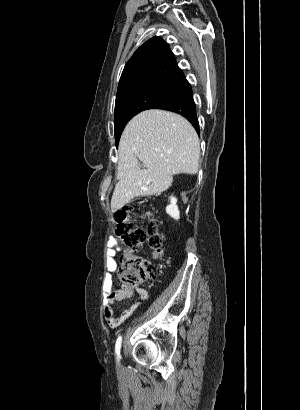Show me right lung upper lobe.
I'll use <instances>...</instances> for the list:
<instances>
[{
    "instance_id": "1",
    "label": "right lung upper lobe",
    "mask_w": 300,
    "mask_h": 410,
    "mask_svg": "<svg viewBox=\"0 0 300 410\" xmlns=\"http://www.w3.org/2000/svg\"><path fill=\"white\" fill-rule=\"evenodd\" d=\"M156 82H187L168 44L160 37L149 39L134 52L124 67L117 93L135 84Z\"/></svg>"
}]
</instances>
